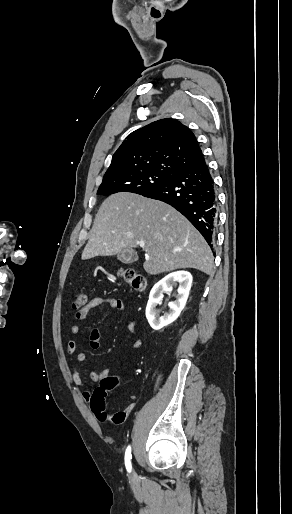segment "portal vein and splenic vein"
I'll use <instances>...</instances> for the list:
<instances>
[{
    "label": "portal vein and splenic vein",
    "instance_id": "obj_1",
    "mask_svg": "<svg viewBox=\"0 0 292 514\" xmlns=\"http://www.w3.org/2000/svg\"><path fill=\"white\" fill-rule=\"evenodd\" d=\"M144 244H141L140 248H143ZM174 252H180V250H174Z\"/></svg>",
    "mask_w": 292,
    "mask_h": 514
}]
</instances>
